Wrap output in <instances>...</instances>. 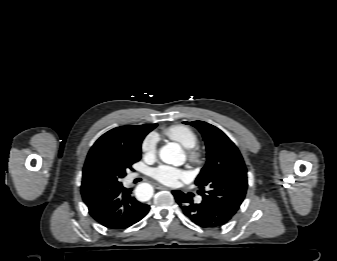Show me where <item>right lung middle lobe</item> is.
Instances as JSON below:
<instances>
[{"label":"right lung middle lobe","mask_w":337,"mask_h":261,"mask_svg":"<svg viewBox=\"0 0 337 261\" xmlns=\"http://www.w3.org/2000/svg\"><path fill=\"white\" fill-rule=\"evenodd\" d=\"M141 141L132 149L101 148L89 154L83 169L82 189L100 197L120 185L126 169L141 158Z\"/></svg>","instance_id":"dd1d6c3e"}]
</instances>
